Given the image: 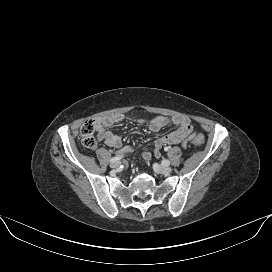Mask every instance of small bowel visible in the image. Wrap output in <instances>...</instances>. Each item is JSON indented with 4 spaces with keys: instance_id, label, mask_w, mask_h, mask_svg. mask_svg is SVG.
I'll return each instance as SVG.
<instances>
[{
    "instance_id": "1",
    "label": "small bowel",
    "mask_w": 272,
    "mask_h": 272,
    "mask_svg": "<svg viewBox=\"0 0 272 272\" xmlns=\"http://www.w3.org/2000/svg\"><path fill=\"white\" fill-rule=\"evenodd\" d=\"M122 114H112L104 117H100L96 120L97 138L99 141L104 142L106 145L113 148H121L122 140L118 135L108 131L107 128L115 123H119L124 120ZM143 122V120H139ZM169 123H173L178 128L166 135L158 137L153 144L154 155L160 157L161 149L165 145L181 144L186 146L189 140L194 137L193 126L188 117L183 115H176L171 118L166 116H157L149 121V128L153 132H159ZM142 157L146 162L151 160V154L147 151H142Z\"/></svg>"
}]
</instances>
